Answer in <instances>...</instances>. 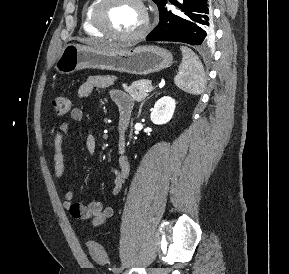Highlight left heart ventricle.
<instances>
[{"instance_id": "left-heart-ventricle-1", "label": "left heart ventricle", "mask_w": 289, "mask_h": 274, "mask_svg": "<svg viewBox=\"0 0 289 274\" xmlns=\"http://www.w3.org/2000/svg\"><path fill=\"white\" fill-rule=\"evenodd\" d=\"M107 25L120 34H132L139 31L145 21L143 9L130 0L112 3L105 13Z\"/></svg>"}]
</instances>
